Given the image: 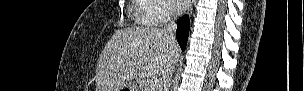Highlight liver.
Wrapping results in <instances>:
<instances>
[{
  "instance_id": "obj_1",
  "label": "liver",
  "mask_w": 304,
  "mask_h": 91,
  "mask_svg": "<svg viewBox=\"0 0 304 91\" xmlns=\"http://www.w3.org/2000/svg\"><path fill=\"white\" fill-rule=\"evenodd\" d=\"M180 47L161 29L117 30L102 50L96 69V91H120L136 77H158L175 65Z\"/></svg>"
}]
</instances>
